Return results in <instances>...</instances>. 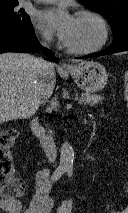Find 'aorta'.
<instances>
[{
  "mask_svg": "<svg viewBox=\"0 0 128 213\" xmlns=\"http://www.w3.org/2000/svg\"><path fill=\"white\" fill-rule=\"evenodd\" d=\"M74 162V150L69 142L65 141L60 150V167L72 168Z\"/></svg>",
  "mask_w": 128,
  "mask_h": 213,
  "instance_id": "obj_1",
  "label": "aorta"
}]
</instances>
